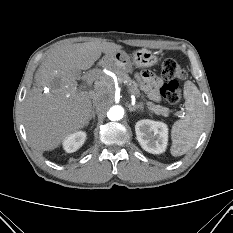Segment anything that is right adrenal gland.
<instances>
[{
  "label": "right adrenal gland",
  "mask_w": 233,
  "mask_h": 233,
  "mask_svg": "<svg viewBox=\"0 0 233 233\" xmlns=\"http://www.w3.org/2000/svg\"><path fill=\"white\" fill-rule=\"evenodd\" d=\"M91 119H93V125H94V122H95V111H92L90 120Z\"/></svg>",
  "instance_id": "right-adrenal-gland-1"
}]
</instances>
